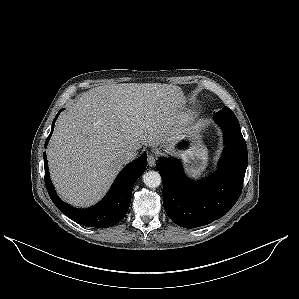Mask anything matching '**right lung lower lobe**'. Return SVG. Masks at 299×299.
<instances>
[{"label": "right lung lower lobe", "mask_w": 299, "mask_h": 299, "mask_svg": "<svg viewBox=\"0 0 299 299\" xmlns=\"http://www.w3.org/2000/svg\"><path fill=\"white\" fill-rule=\"evenodd\" d=\"M59 114L60 112H58L53 120L52 129L46 139L45 146H47V143L52 135L54 124ZM43 157L45 185L53 203L60 209V211L73 221L83 226L93 228H108L117 224L124 218L130 206L132 189L135 181L145 170L147 161V155L142 154L138 159L127 165L119 173L107 195L98 204L87 209H77L65 204L56 195L49 177V169L45 152Z\"/></svg>", "instance_id": "right-lung-lower-lobe-1"}]
</instances>
